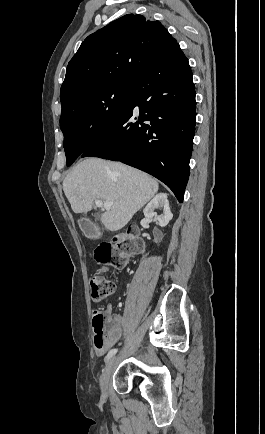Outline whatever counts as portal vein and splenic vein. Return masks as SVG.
Returning a JSON list of instances; mask_svg holds the SVG:
<instances>
[{
    "label": "portal vein and splenic vein",
    "mask_w": 265,
    "mask_h": 434,
    "mask_svg": "<svg viewBox=\"0 0 265 434\" xmlns=\"http://www.w3.org/2000/svg\"><path fill=\"white\" fill-rule=\"evenodd\" d=\"M114 202H101V200H95V206L97 208H101V210H111V206H113Z\"/></svg>",
    "instance_id": "obj_1"
}]
</instances>
